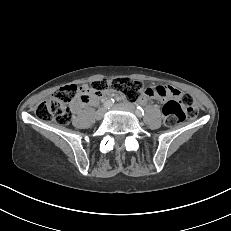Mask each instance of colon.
Instances as JSON below:
<instances>
[{
	"instance_id": "5ec220e1",
	"label": "colon",
	"mask_w": 231,
	"mask_h": 231,
	"mask_svg": "<svg viewBox=\"0 0 231 231\" xmlns=\"http://www.w3.org/2000/svg\"><path fill=\"white\" fill-rule=\"evenodd\" d=\"M91 89L98 94L106 91L118 92L131 101L139 99L146 91L143 82L129 78L96 81ZM76 98H83L77 86L61 87L37 107L36 117L41 121L55 122L60 125L68 124L72 118L70 105ZM163 114L165 123L173 126L183 120L196 118L198 108L190 94L181 93L176 100H169L164 104Z\"/></svg>"
}]
</instances>
